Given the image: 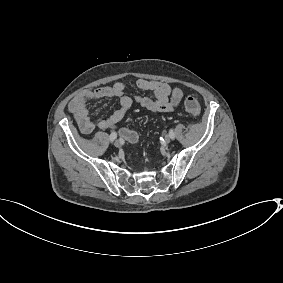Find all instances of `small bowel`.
Returning a JSON list of instances; mask_svg holds the SVG:
<instances>
[{"mask_svg": "<svg viewBox=\"0 0 283 283\" xmlns=\"http://www.w3.org/2000/svg\"><path fill=\"white\" fill-rule=\"evenodd\" d=\"M133 86L151 93L152 97L128 94V89ZM182 97L183 93L179 88H173L165 82L138 79L134 83L116 82L111 86L85 89L70 101L68 110L74 116L81 132L89 134L96 128L102 130L116 128L133 102L153 112H172L180 104ZM101 98H116L118 108L107 118L92 120L88 104Z\"/></svg>", "mask_w": 283, "mask_h": 283, "instance_id": "1", "label": "small bowel"}]
</instances>
